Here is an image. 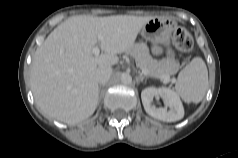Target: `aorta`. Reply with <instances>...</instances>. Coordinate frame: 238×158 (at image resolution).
Listing matches in <instances>:
<instances>
[{
  "mask_svg": "<svg viewBox=\"0 0 238 158\" xmlns=\"http://www.w3.org/2000/svg\"><path fill=\"white\" fill-rule=\"evenodd\" d=\"M121 82L125 85H129L132 83V77L130 74L124 73L121 75Z\"/></svg>",
  "mask_w": 238,
  "mask_h": 158,
  "instance_id": "1",
  "label": "aorta"
}]
</instances>
